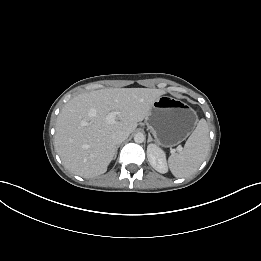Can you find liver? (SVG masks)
<instances>
[{
    "mask_svg": "<svg viewBox=\"0 0 261 261\" xmlns=\"http://www.w3.org/2000/svg\"><path fill=\"white\" fill-rule=\"evenodd\" d=\"M165 92L149 88H107L72 98L57 117L55 149L64 166L84 178L107 171L114 158L115 132L132 133ZM118 112L109 124L106 116Z\"/></svg>",
    "mask_w": 261,
    "mask_h": 261,
    "instance_id": "obj_1",
    "label": "liver"
}]
</instances>
